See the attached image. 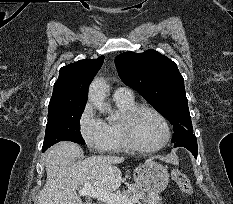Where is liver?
<instances>
[{"label": "liver", "mask_w": 233, "mask_h": 204, "mask_svg": "<svg viewBox=\"0 0 233 204\" xmlns=\"http://www.w3.org/2000/svg\"><path fill=\"white\" fill-rule=\"evenodd\" d=\"M82 155V148L72 142H60L47 150V179L37 204H83L76 189L88 182L108 192L120 187L122 174L115 165L122 163L124 157L94 155L73 164Z\"/></svg>", "instance_id": "obj_1"}]
</instances>
